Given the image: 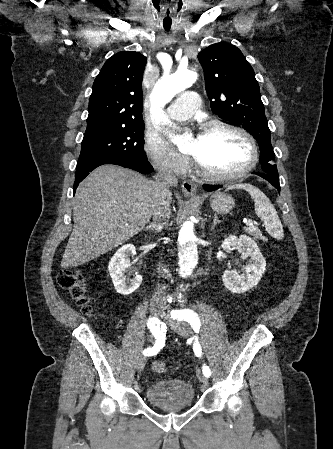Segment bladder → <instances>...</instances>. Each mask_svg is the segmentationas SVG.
I'll return each mask as SVG.
<instances>
[{"instance_id": "31cf9c89", "label": "bladder", "mask_w": 333, "mask_h": 449, "mask_svg": "<svg viewBox=\"0 0 333 449\" xmlns=\"http://www.w3.org/2000/svg\"><path fill=\"white\" fill-rule=\"evenodd\" d=\"M146 399L158 408L187 407L194 403L195 390L182 380L157 381L147 387Z\"/></svg>"}]
</instances>
